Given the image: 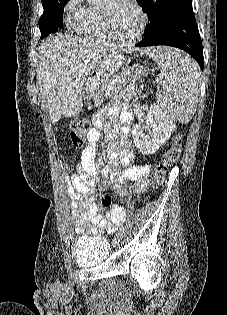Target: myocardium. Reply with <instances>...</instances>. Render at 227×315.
<instances>
[{
    "instance_id": "obj_1",
    "label": "myocardium",
    "mask_w": 227,
    "mask_h": 315,
    "mask_svg": "<svg viewBox=\"0 0 227 315\" xmlns=\"http://www.w3.org/2000/svg\"><path fill=\"white\" fill-rule=\"evenodd\" d=\"M123 1L130 4L136 10V12L138 13V15L140 17L141 22H140V26H139V29L136 32V34H134L131 37H122V36L118 35L112 27L109 14L105 10L101 9L103 25H104L108 35L112 39H115V40H118L121 42H126V43H134L142 37V35H143V33L147 27V24H148V16L145 13V11L143 10V8L136 2V0H123Z\"/></svg>"
}]
</instances>
